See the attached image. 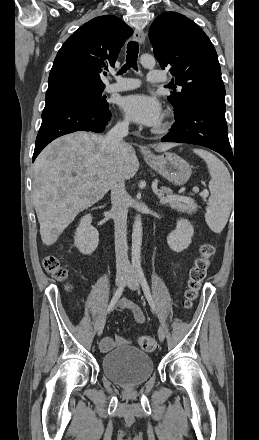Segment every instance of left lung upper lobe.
<instances>
[{"instance_id":"5c2ea615","label":"left lung upper lobe","mask_w":259,"mask_h":440,"mask_svg":"<svg viewBox=\"0 0 259 440\" xmlns=\"http://www.w3.org/2000/svg\"><path fill=\"white\" fill-rule=\"evenodd\" d=\"M154 55L162 69H168L180 92L167 97L182 114L188 103L199 96L225 98V87L214 46L204 31L177 12L159 15L149 29Z\"/></svg>"}]
</instances>
